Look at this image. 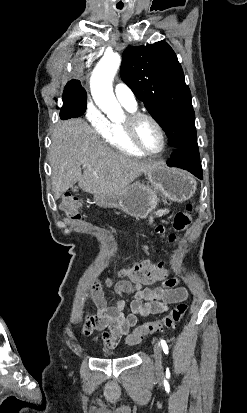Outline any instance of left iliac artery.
Segmentation results:
<instances>
[{"label": "left iliac artery", "instance_id": "1", "mask_svg": "<svg viewBox=\"0 0 247 413\" xmlns=\"http://www.w3.org/2000/svg\"><path fill=\"white\" fill-rule=\"evenodd\" d=\"M160 343H161V346H162V348H163L164 353H165V354H168V345H167L166 341L163 340V339H161V340H160Z\"/></svg>", "mask_w": 247, "mask_h": 413}]
</instances>
